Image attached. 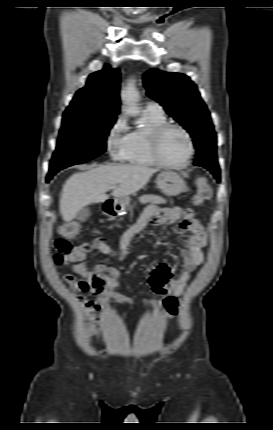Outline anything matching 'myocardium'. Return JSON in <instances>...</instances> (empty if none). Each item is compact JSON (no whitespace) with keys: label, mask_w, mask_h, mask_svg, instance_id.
<instances>
[{"label":"myocardium","mask_w":273,"mask_h":430,"mask_svg":"<svg viewBox=\"0 0 273 430\" xmlns=\"http://www.w3.org/2000/svg\"><path fill=\"white\" fill-rule=\"evenodd\" d=\"M170 129H176V130H179L180 132H182L184 134V136L186 137V140L188 143L187 156H186L185 160L179 164H172V163L165 162L161 157V153H160L161 139H162L163 135L165 134V132L170 130ZM150 152H151L152 159L154 160L156 165L163 167V168L180 170V169L187 167L190 164V162L194 156L195 149H194L192 137L186 128H184L183 126L176 124V123L165 122V123L157 126L156 128H154L153 131L151 132V135H150Z\"/></svg>","instance_id":"myocardium-1"}]
</instances>
